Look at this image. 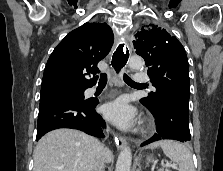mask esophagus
<instances>
[{
	"label": "esophagus",
	"instance_id": "esophagus-1",
	"mask_svg": "<svg viewBox=\"0 0 223 171\" xmlns=\"http://www.w3.org/2000/svg\"><path fill=\"white\" fill-rule=\"evenodd\" d=\"M119 47L113 51V60L111 61V68L117 78L122 76V71L127 69V62L130 56V45L127 38H122L118 42ZM115 142L118 148L126 145V139L122 136H115Z\"/></svg>",
	"mask_w": 223,
	"mask_h": 171
}]
</instances>
